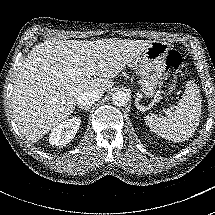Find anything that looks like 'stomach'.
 Listing matches in <instances>:
<instances>
[{"instance_id":"obj_1","label":"stomach","mask_w":215,"mask_h":215,"mask_svg":"<svg viewBox=\"0 0 215 215\" xmlns=\"http://www.w3.org/2000/svg\"><path fill=\"white\" fill-rule=\"evenodd\" d=\"M173 51L167 41L154 40L137 58L135 71L139 77L140 92L145 99H151L157 92V84L166 70V62Z\"/></svg>"}]
</instances>
